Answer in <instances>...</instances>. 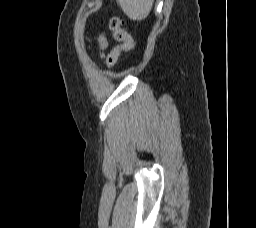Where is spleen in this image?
I'll return each instance as SVG.
<instances>
[{
    "mask_svg": "<svg viewBox=\"0 0 256 228\" xmlns=\"http://www.w3.org/2000/svg\"><path fill=\"white\" fill-rule=\"evenodd\" d=\"M117 2L131 20L141 21L150 13L154 0H117Z\"/></svg>",
    "mask_w": 256,
    "mask_h": 228,
    "instance_id": "spleen-1",
    "label": "spleen"
}]
</instances>
